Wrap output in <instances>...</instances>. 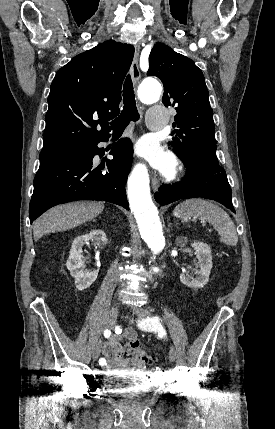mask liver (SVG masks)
Instances as JSON below:
<instances>
[{
  "instance_id": "liver-1",
  "label": "liver",
  "mask_w": 275,
  "mask_h": 429,
  "mask_svg": "<svg viewBox=\"0 0 275 429\" xmlns=\"http://www.w3.org/2000/svg\"><path fill=\"white\" fill-rule=\"evenodd\" d=\"M104 209L102 202H74L48 210L33 224L37 241L43 235L72 229L99 215Z\"/></svg>"
}]
</instances>
